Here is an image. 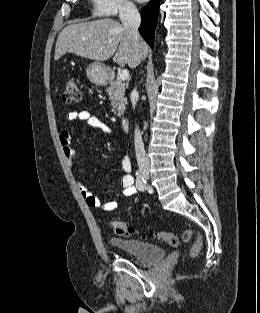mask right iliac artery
I'll return each mask as SVG.
<instances>
[{"instance_id":"82829eb1","label":"right iliac artery","mask_w":260,"mask_h":313,"mask_svg":"<svg viewBox=\"0 0 260 313\" xmlns=\"http://www.w3.org/2000/svg\"><path fill=\"white\" fill-rule=\"evenodd\" d=\"M136 187L141 191L146 189V181L139 171L136 172Z\"/></svg>"}]
</instances>
